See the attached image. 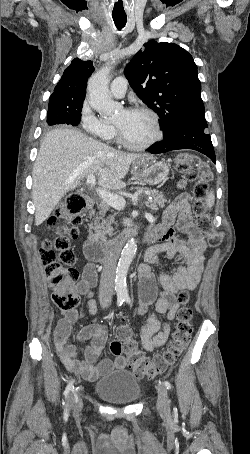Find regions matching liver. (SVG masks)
Returning <instances> with one entry per match:
<instances>
[{"label": "liver", "instance_id": "6515ba94", "mask_svg": "<svg viewBox=\"0 0 250 454\" xmlns=\"http://www.w3.org/2000/svg\"><path fill=\"white\" fill-rule=\"evenodd\" d=\"M117 151L80 131L54 129L41 143L33 168L35 225L42 224L71 189L90 174L104 190H120L131 163L141 157Z\"/></svg>", "mask_w": 250, "mask_h": 454}]
</instances>
